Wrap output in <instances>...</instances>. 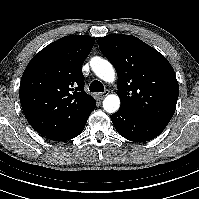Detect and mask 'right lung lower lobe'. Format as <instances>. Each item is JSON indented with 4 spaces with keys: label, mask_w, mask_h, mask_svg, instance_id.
<instances>
[{
    "label": "right lung lower lobe",
    "mask_w": 199,
    "mask_h": 199,
    "mask_svg": "<svg viewBox=\"0 0 199 199\" xmlns=\"http://www.w3.org/2000/svg\"><path fill=\"white\" fill-rule=\"evenodd\" d=\"M86 122H87V120L83 124H81V126L77 130H75V131H73V132H71L69 134H66V135H64V136H62V137H60L58 139H54L53 141H66V140H70V139L78 136L83 131Z\"/></svg>",
    "instance_id": "obj_1"
}]
</instances>
